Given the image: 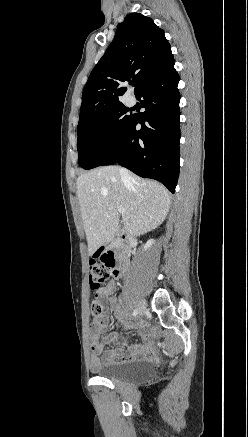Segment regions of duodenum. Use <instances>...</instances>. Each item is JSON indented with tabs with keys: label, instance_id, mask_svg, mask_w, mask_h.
I'll return each instance as SVG.
<instances>
[{
	"label": "duodenum",
	"instance_id": "duodenum-1",
	"mask_svg": "<svg viewBox=\"0 0 248 437\" xmlns=\"http://www.w3.org/2000/svg\"><path fill=\"white\" fill-rule=\"evenodd\" d=\"M130 251V238L125 234H120L113 242L95 248V257H106V255L113 261L115 267L113 275L119 277L122 273L123 266L127 263Z\"/></svg>",
	"mask_w": 248,
	"mask_h": 437
}]
</instances>
